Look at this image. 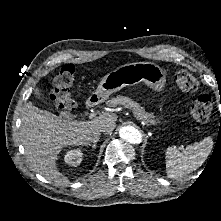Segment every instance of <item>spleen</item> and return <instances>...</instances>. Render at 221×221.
Masks as SVG:
<instances>
[{
	"label": "spleen",
	"instance_id": "obj_1",
	"mask_svg": "<svg viewBox=\"0 0 221 221\" xmlns=\"http://www.w3.org/2000/svg\"><path fill=\"white\" fill-rule=\"evenodd\" d=\"M213 148L210 137L188 145L184 152L168 147L165 152L166 173L169 178L178 179L197 170L207 159Z\"/></svg>",
	"mask_w": 221,
	"mask_h": 221
}]
</instances>
